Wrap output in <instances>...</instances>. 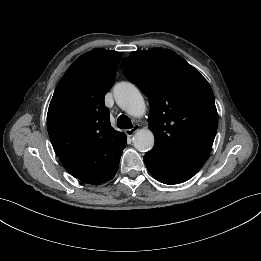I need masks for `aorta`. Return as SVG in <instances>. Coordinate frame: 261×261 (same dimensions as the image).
<instances>
[{
	"mask_svg": "<svg viewBox=\"0 0 261 261\" xmlns=\"http://www.w3.org/2000/svg\"><path fill=\"white\" fill-rule=\"evenodd\" d=\"M118 106L133 117L146 113V104L138 88L131 83H118L113 90ZM154 135L149 129L138 130L133 137L134 147L140 152H147L154 146Z\"/></svg>",
	"mask_w": 261,
	"mask_h": 261,
	"instance_id": "1",
	"label": "aorta"
}]
</instances>
